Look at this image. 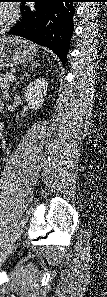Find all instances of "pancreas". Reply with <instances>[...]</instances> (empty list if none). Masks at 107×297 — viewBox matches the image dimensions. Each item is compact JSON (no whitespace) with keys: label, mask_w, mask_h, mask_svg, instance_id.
I'll return each mask as SVG.
<instances>
[{"label":"pancreas","mask_w":107,"mask_h":297,"mask_svg":"<svg viewBox=\"0 0 107 297\" xmlns=\"http://www.w3.org/2000/svg\"><path fill=\"white\" fill-rule=\"evenodd\" d=\"M10 73H6V74H1V85L4 86L7 84V81L9 80L8 78L10 77Z\"/></svg>","instance_id":"pancreas-1"}]
</instances>
